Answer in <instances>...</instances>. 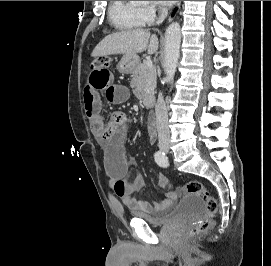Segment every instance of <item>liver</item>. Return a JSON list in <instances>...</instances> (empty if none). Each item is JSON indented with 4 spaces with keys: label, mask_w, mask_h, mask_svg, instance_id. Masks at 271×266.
<instances>
[{
    "label": "liver",
    "mask_w": 271,
    "mask_h": 266,
    "mask_svg": "<svg viewBox=\"0 0 271 266\" xmlns=\"http://www.w3.org/2000/svg\"><path fill=\"white\" fill-rule=\"evenodd\" d=\"M158 37L149 30L133 29L116 32L106 36L93 50L91 56H107L115 54H137L147 50L154 54L158 50Z\"/></svg>",
    "instance_id": "obj_1"
}]
</instances>
